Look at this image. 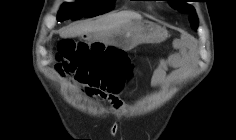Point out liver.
<instances>
[{
  "mask_svg": "<svg viewBox=\"0 0 236 140\" xmlns=\"http://www.w3.org/2000/svg\"><path fill=\"white\" fill-rule=\"evenodd\" d=\"M132 19H141V16L134 12L112 13L95 21H86L66 27L60 30L59 34L62 38L93 34L97 40H105Z\"/></svg>",
  "mask_w": 236,
  "mask_h": 140,
  "instance_id": "liver-1",
  "label": "liver"
}]
</instances>
